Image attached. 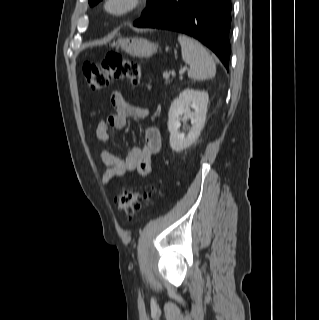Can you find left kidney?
I'll return each instance as SVG.
<instances>
[{
	"mask_svg": "<svg viewBox=\"0 0 319 320\" xmlns=\"http://www.w3.org/2000/svg\"><path fill=\"white\" fill-rule=\"evenodd\" d=\"M208 101L209 96L206 91L187 88L172 102L168 113V130L173 151L181 152L198 139L205 125ZM188 119L191 120L192 127L185 136L179 132V128L181 121Z\"/></svg>",
	"mask_w": 319,
	"mask_h": 320,
	"instance_id": "left-kidney-1",
	"label": "left kidney"
}]
</instances>
